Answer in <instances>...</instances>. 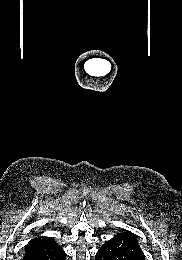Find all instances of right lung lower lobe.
Instances as JSON below:
<instances>
[{
    "instance_id": "98d812e1",
    "label": "right lung lower lobe",
    "mask_w": 182,
    "mask_h": 260,
    "mask_svg": "<svg viewBox=\"0 0 182 260\" xmlns=\"http://www.w3.org/2000/svg\"><path fill=\"white\" fill-rule=\"evenodd\" d=\"M23 260H66V254L55 241H47L26 247Z\"/></svg>"
}]
</instances>
